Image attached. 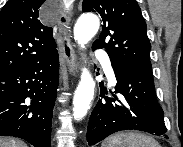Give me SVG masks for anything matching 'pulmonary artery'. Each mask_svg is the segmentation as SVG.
I'll use <instances>...</instances> for the list:
<instances>
[{"instance_id":"obj_1","label":"pulmonary artery","mask_w":183,"mask_h":147,"mask_svg":"<svg viewBox=\"0 0 183 147\" xmlns=\"http://www.w3.org/2000/svg\"><path fill=\"white\" fill-rule=\"evenodd\" d=\"M102 56H104V53L102 51H99L97 53V57H102ZM103 68H104L105 72L107 73L108 77L111 80H114L113 68H112L111 62H110V60L108 58L104 59V61H103Z\"/></svg>"}]
</instances>
